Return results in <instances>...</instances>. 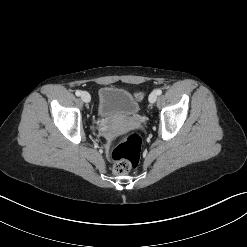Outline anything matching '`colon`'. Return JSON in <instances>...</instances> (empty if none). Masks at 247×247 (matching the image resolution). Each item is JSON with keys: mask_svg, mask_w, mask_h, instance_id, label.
<instances>
[{"mask_svg": "<svg viewBox=\"0 0 247 247\" xmlns=\"http://www.w3.org/2000/svg\"><path fill=\"white\" fill-rule=\"evenodd\" d=\"M142 97V93L136 94L137 99H142ZM141 146L142 138L138 133L116 138L110 153L113 172L127 174L136 170L140 164Z\"/></svg>", "mask_w": 247, "mask_h": 247, "instance_id": "obj_1", "label": "colon"}]
</instances>
